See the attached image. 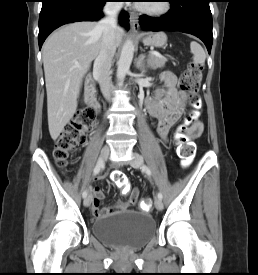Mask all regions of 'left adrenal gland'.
I'll list each match as a JSON object with an SVG mask.
<instances>
[{
    "mask_svg": "<svg viewBox=\"0 0 258 275\" xmlns=\"http://www.w3.org/2000/svg\"><path fill=\"white\" fill-rule=\"evenodd\" d=\"M144 59H145V54H141L138 57V60L136 62V67H137V69H139L141 71V73L146 72V69H145V66H144V61H145Z\"/></svg>",
    "mask_w": 258,
    "mask_h": 275,
    "instance_id": "obj_1",
    "label": "left adrenal gland"
}]
</instances>
